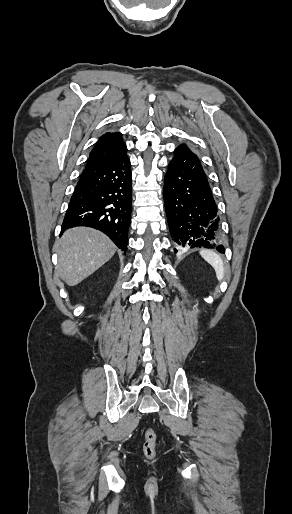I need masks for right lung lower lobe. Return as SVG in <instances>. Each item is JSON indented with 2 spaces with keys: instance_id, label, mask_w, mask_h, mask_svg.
Masks as SVG:
<instances>
[{
  "instance_id": "98d812e1",
  "label": "right lung lower lobe",
  "mask_w": 292,
  "mask_h": 514,
  "mask_svg": "<svg viewBox=\"0 0 292 514\" xmlns=\"http://www.w3.org/2000/svg\"><path fill=\"white\" fill-rule=\"evenodd\" d=\"M132 210L130 160L123 155L105 164H86L70 199L61 233L86 226L102 231L127 250Z\"/></svg>"
}]
</instances>
